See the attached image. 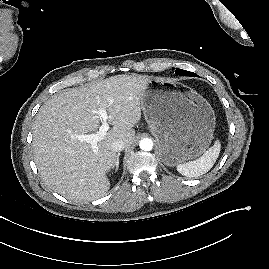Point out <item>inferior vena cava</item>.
<instances>
[{
	"mask_svg": "<svg viewBox=\"0 0 269 269\" xmlns=\"http://www.w3.org/2000/svg\"><path fill=\"white\" fill-rule=\"evenodd\" d=\"M111 147L113 151L119 152L125 148V143L122 140H116L112 143Z\"/></svg>",
	"mask_w": 269,
	"mask_h": 269,
	"instance_id": "602c4592",
	"label": "inferior vena cava"
}]
</instances>
